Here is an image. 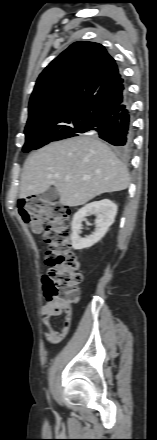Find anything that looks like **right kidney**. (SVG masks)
Here are the masks:
<instances>
[{"instance_id": "obj_1", "label": "right kidney", "mask_w": 157, "mask_h": 440, "mask_svg": "<svg viewBox=\"0 0 157 440\" xmlns=\"http://www.w3.org/2000/svg\"><path fill=\"white\" fill-rule=\"evenodd\" d=\"M116 214L117 205L109 199H103L101 201H95L85 205L73 216L71 223L72 247L75 250H81L96 244L104 237L109 227L114 223ZM90 215H97V219L95 221V231L92 235L82 238L80 237L82 221L85 217Z\"/></svg>"}]
</instances>
